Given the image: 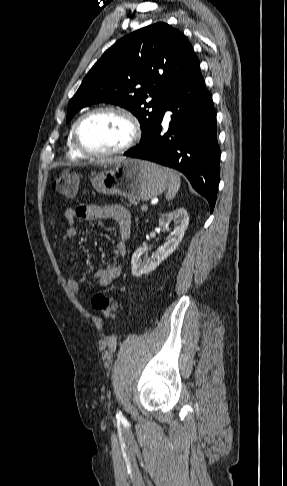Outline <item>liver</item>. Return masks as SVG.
Here are the masks:
<instances>
[{
	"label": "liver",
	"mask_w": 287,
	"mask_h": 486,
	"mask_svg": "<svg viewBox=\"0 0 287 486\" xmlns=\"http://www.w3.org/2000/svg\"><path fill=\"white\" fill-rule=\"evenodd\" d=\"M124 158H115V159H112V160H109L110 163H113V162H117V161H120V160H123Z\"/></svg>",
	"instance_id": "liver-1"
}]
</instances>
